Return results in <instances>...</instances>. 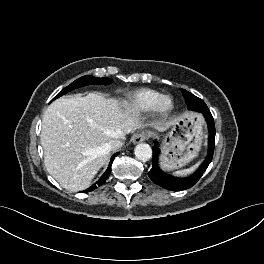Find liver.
Instances as JSON below:
<instances>
[{
  "instance_id": "obj_1",
  "label": "liver",
  "mask_w": 264,
  "mask_h": 264,
  "mask_svg": "<svg viewBox=\"0 0 264 264\" xmlns=\"http://www.w3.org/2000/svg\"><path fill=\"white\" fill-rule=\"evenodd\" d=\"M134 108L95 93L61 97L45 111L40 135L48 173L70 191L85 189L107 162L108 143L139 127ZM165 127H157L163 130Z\"/></svg>"
}]
</instances>
